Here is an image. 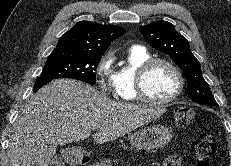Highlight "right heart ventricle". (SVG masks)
Returning <instances> with one entry per match:
<instances>
[{
	"instance_id": "right-heart-ventricle-1",
	"label": "right heart ventricle",
	"mask_w": 231,
	"mask_h": 166,
	"mask_svg": "<svg viewBox=\"0 0 231 166\" xmlns=\"http://www.w3.org/2000/svg\"><path fill=\"white\" fill-rule=\"evenodd\" d=\"M150 59L149 53L140 46L131 47L126 55L125 62L118 68L117 96L122 101L137 100L135 90V77L138 67Z\"/></svg>"
}]
</instances>
